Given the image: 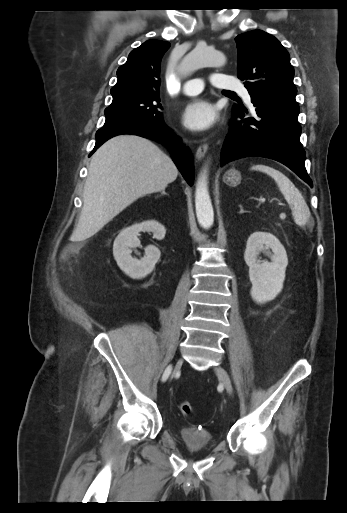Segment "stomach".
I'll list each match as a JSON object with an SVG mask.
<instances>
[{"label":"stomach","instance_id":"0dacf381","mask_svg":"<svg viewBox=\"0 0 347 513\" xmlns=\"http://www.w3.org/2000/svg\"><path fill=\"white\" fill-rule=\"evenodd\" d=\"M224 181L231 186H235L241 181V174L235 169L228 170L224 175Z\"/></svg>","mask_w":347,"mask_h":513}]
</instances>
